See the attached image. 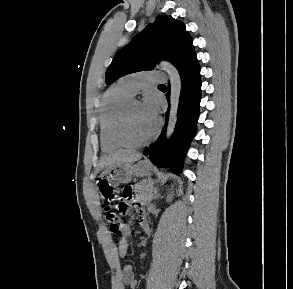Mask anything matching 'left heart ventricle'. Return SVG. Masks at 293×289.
Masks as SVG:
<instances>
[{
  "label": "left heart ventricle",
  "instance_id": "1",
  "mask_svg": "<svg viewBox=\"0 0 293 289\" xmlns=\"http://www.w3.org/2000/svg\"><path fill=\"white\" fill-rule=\"evenodd\" d=\"M157 120L152 119L144 110L142 103L132 106L128 118V134L133 141L148 139L156 128Z\"/></svg>",
  "mask_w": 293,
  "mask_h": 289
}]
</instances>
